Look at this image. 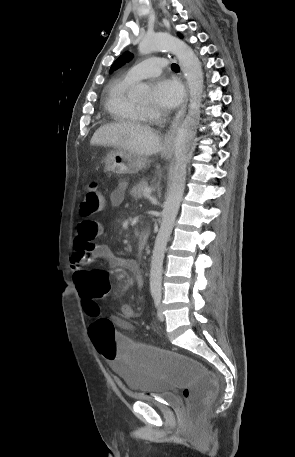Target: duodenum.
Returning a JSON list of instances; mask_svg holds the SVG:
<instances>
[{
    "instance_id": "duodenum-1",
    "label": "duodenum",
    "mask_w": 295,
    "mask_h": 457,
    "mask_svg": "<svg viewBox=\"0 0 295 457\" xmlns=\"http://www.w3.org/2000/svg\"><path fill=\"white\" fill-rule=\"evenodd\" d=\"M148 232L146 230L142 231L139 236V249L143 250L147 244Z\"/></svg>"
}]
</instances>
